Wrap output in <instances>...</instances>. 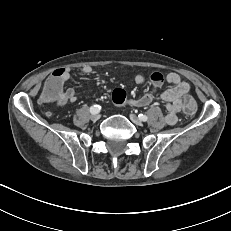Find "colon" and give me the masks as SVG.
Returning a JSON list of instances; mask_svg holds the SVG:
<instances>
[{"label":"colon","mask_w":231,"mask_h":231,"mask_svg":"<svg viewBox=\"0 0 231 231\" xmlns=\"http://www.w3.org/2000/svg\"><path fill=\"white\" fill-rule=\"evenodd\" d=\"M64 78V71L62 69L51 70L48 77L42 85L39 101L43 104L55 102L59 96L60 82ZM112 99L116 104H123L126 102V93L122 89H115L112 93ZM180 108L186 117H192L197 112V101L194 96L189 94L180 95Z\"/></svg>","instance_id":"obj_1"}]
</instances>
